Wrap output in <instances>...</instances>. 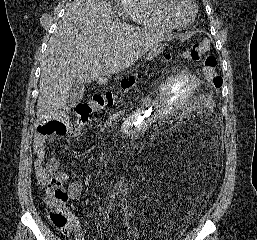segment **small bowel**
<instances>
[{"instance_id":"small-bowel-1","label":"small bowel","mask_w":257,"mask_h":240,"mask_svg":"<svg viewBox=\"0 0 257 240\" xmlns=\"http://www.w3.org/2000/svg\"><path fill=\"white\" fill-rule=\"evenodd\" d=\"M64 131L53 135H43L38 133L34 139V152L36 154L35 167L36 174L39 183L46 184L47 181L54 177L59 182H68L71 177L64 172H58L60 168V160L57 157H50L46 159L45 143L47 141L53 142L57 135L68 136L71 138L77 137L79 134V128L66 124ZM82 194V183L79 180H74L68 187V196L72 200H79ZM69 218V230L71 231L76 240H85V234L77 221V219L68 215Z\"/></svg>"}]
</instances>
